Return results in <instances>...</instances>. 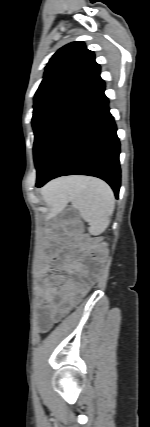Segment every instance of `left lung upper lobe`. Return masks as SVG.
I'll use <instances>...</instances> for the list:
<instances>
[{
  "instance_id": "obj_1",
  "label": "left lung upper lobe",
  "mask_w": 150,
  "mask_h": 427,
  "mask_svg": "<svg viewBox=\"0 0 150 427\" xmlns=\"http://www.w3.org/2000/svg\"><path fill=\"white\" fill-rule=\"evenodd\" d=\"M99 74L100 66L95 62L94 53L83 42L60 48L45 67L34 97V132L88 88Z\"/></svg>"
}]
</instances>
